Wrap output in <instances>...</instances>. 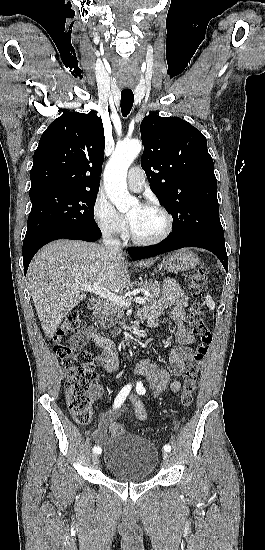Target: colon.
I'll return each instance as SVG.
<instances>
[{
	"instance_id": "1",
	"label": "colon",
	"mask_w": 265,
	"mask_h": 550,
	"mask_svg": "<svg viewBox=\"0 0 265 550\" xmlns=\"http://www.w3.org/2000/svg\"><path fill=\"white\" fill-rule=\"evenodd\" d=\"M187 282L192 298L188 311V323L197 341L183 376L180 402L184 407H189L193 401L197 377L212 342V334L204 321L202 304L199 301L207 283V270L205 268L197 269L187 277ZM85 330L86 323L80 317L79 312L71 311L57 329L54 337V352L61 359L68 374L65 383L67 408L74 421L80 426L89 425L92 421L91 406L100 395V391L96 387L98 377L94 368L93 356L88 351L75 350L65 344L63 339L67 335L82 333ZM110 432L113 436H123L126 433V428L122 424L113 423L110 426Z\"/></svg>"
}]
</instances>
